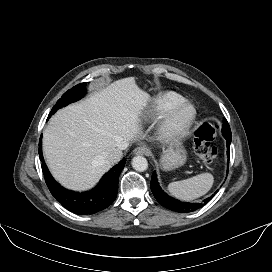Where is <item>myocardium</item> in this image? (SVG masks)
<instances>
[{"instance_id": "obj_1", "label": "myocardium", "mask_w": 272, "mask_h": 272, "mask_svg": "<svg viewBox=\"0 0 272 272\" xmlns=\"http://www.w3.org/2000/svg\"><path fill=\"white\" fill-rule=\"evenodd\" d=\"M188 109L189 116L182 123H177L179 114ZM197 119L196 106L188 101L183 100L175 104L163 117L159 124V135L162 140L167 142L178 141L186 137Z\"/></svg>"}]
</instances>
